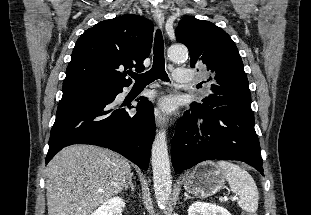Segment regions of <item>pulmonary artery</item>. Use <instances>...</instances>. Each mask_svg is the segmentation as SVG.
<instances>
[{"label":"pulmonary artery","mask_w":311,"mask_h":215,"mask_svg":"<svg viewBox=\"0 0 311 215\" xmlns=\"http://www.w3.org/2000/svg\"><path fill=\"white\" fill-rule=\"evenodd\" d=\"M174 80L178 83H189L193 81V76L190 70L177 68L173 73Z\"/></svg>","instance_id":"pulmonary-artery-1"}]
</instances>
